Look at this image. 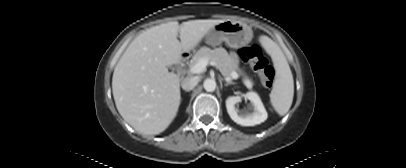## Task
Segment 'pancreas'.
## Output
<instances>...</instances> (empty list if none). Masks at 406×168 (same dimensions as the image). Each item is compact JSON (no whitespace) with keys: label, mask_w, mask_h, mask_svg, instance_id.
<instances>
[{"label":"pancreas","mask_w":406,"mask_h":168,"mask_svg":"<svg viewBox=\"0 0 406 168\" xmlns=\"http://www.w3.org/2000/svg\"><path fill=\"white\" fill-rule=\"evenodd\" d=\"M208 58L224 77H231L232 72H236L239 76H242L244 84L251 83V79L238 67L234 59L228 54V52L220 47L214 50L210 48H201L193 57L191 65H195L200 59ZM248 87V86H247Z\"/></svg>","instance_id":"cf45deb5"}]
</instances>
